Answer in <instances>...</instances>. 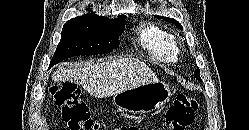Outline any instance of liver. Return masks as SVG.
I'll return each instance as SVG.
<instances>
[{"label": "liver", "instance_id": "1", "mask_svg": "<svg viewBox=\"0 0 249 130\" xmlns=\"http://www.w3.org/2000/svg\"><path fill=\"white\" fill-rule=\"evenodd\" d=\"M56 82L69 81L80 84L96 98L114 96L120 92L158 81V77L144 62L135 58L108 61H90L84 67L66 69L59 66L53 73Z\"/></svg>", "mask_w": 249, "mask_h": 130}]
</instances>
